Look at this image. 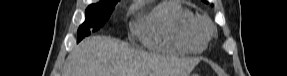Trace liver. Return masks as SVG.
Segmentation results:
<instances>
[{
    "label": "liver",
    "mask_w": 287,
    "mask_h": 76,
    "mask_svg": "<svg viewBox=\"0 0 287 76\" xmlns=\"http://www.w3.org/2000/svg\"><path fill=\"white\" fill-rule=\"evenodd\" d=\"M198 63L195 58L137 52L118 39L93 36L68 55L64 76H187Z\"/></svg>",
    "instance_id": "liver-1"
}]
</instances>
